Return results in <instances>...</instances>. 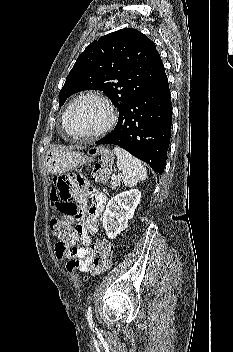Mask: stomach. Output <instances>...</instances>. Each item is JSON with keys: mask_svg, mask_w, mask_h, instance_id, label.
I'll return each mask as SVG.
<instances>
[{"mask_svg": "<svg viewBox=\"0 0 233 352\" xmlns=\"http://www.w3.org/2000/svg\"><path fill=\"white\" fill-rule=\"evenodd\" d=\"M93 161V157L86 156L79 152L50 150L46 154V170L52 174L65 173L84 163Z\"/></svg>", "mask_w": 233, "mask_h": 352, "instance_id": "0dacf381", "label": "stomach"}]
</instances>
